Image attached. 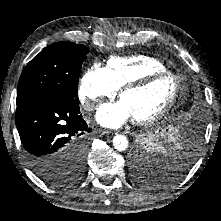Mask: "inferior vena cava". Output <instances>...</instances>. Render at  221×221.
I'll list each match as a JSON object with an SVG mask.
<instances>
[{
  "instance_id": "inferior-vena-cava-1",
  "label": "inferior vena cava",
  "mask_w": 221,
  "mask_h": 221,
  "mask_svg": "<svg viewBox=\"0 0 221 221\" xmlns=\"http://www.w3.org/2000/svg\"><path fill=\"white\" fill-rule=\"evenodd\" d=\"M97 103L95 101H87L84 105V109L87 111H92L96 108Z\"/></svg>"
}]
</instances>
